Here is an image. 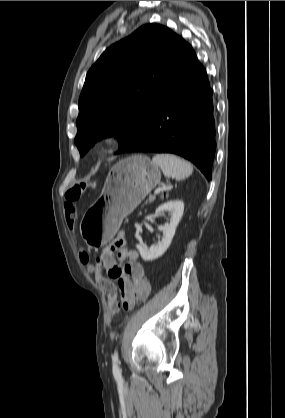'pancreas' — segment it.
Masks as SVG:
<instances>
[{
    "label": "pancreas",
    "instance_id": "pancreas-1",
    "mask_svg": "<svg viewBox=\"0 0 285 418\" xmlns=\"http://www.w3.org/2000/svg\"><path fill=\"white\" fill-rule=\"evenodd\" d=\"M149 201L152 202L153 201V198L149 199Z\"/></svg>",
    "mask_w": 285,
    "mask_h": 418
}]
</instances>
